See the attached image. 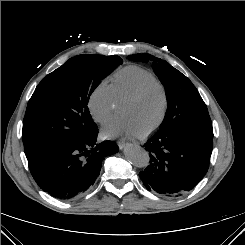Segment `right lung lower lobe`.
Masks as SVG:
<instances>
[{
	"mask_svg": "<svg viewBox=\"0 0 245 245\" xmlns=\"http://www.w3.org/2000/svg\"><path fill=\"white\" fill-rule=\"evenodd\" d=\"M97 136L98 128L81 140L63 142L28 158L38 186L64 200L86 193L100 173L102 159L119 150L112 141L97 143Z\"/></svg>",
	"mask_w": 245,
	"mask_h": 245,
	"instance_id": "obj_1",
	"label": "right lung lower lobe"
}]
</instances>
